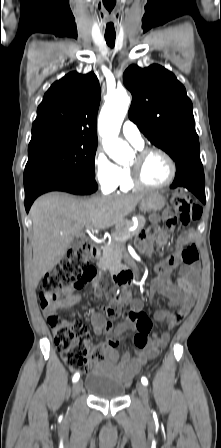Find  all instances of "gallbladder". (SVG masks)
Returning <instances> with one entry per match:
<instances>
[{
  "instance_id": "1",
  "label": "gallbladder",
  "mask_w": 221,
  "mask_h": 448,
  "mask_svg": "<svg viewBox=\"0 0 221 448\" xmlns=\"http://www.w3.org/2000/svg\"><path fill=\"white\" fill-rule=\"evenodd\" d=\"M75 245V242H72L71 244H70V247H73Z\"/></svg>"
}]
</instances>
